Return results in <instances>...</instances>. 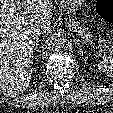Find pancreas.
Returning <instances> with one entry per match:
<instances>
[{"instance_id":"cf45deb5","label":"pancreas","mask_w":113,"mask_h":113,"mask_svg":"<svg viewBox=\"0 0 113 113\" xmlns=\"http://www.w3.org/2000/svg\"><path fill=\"white\" fill-rule=\"evenodd\" d=\"M70 23L72 27L76 30V32L86 41H90V34L87 28H84L78 21H75L74 19H70Z\"/></svg>"}]
</instances>
